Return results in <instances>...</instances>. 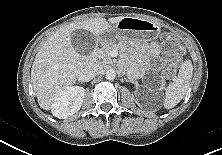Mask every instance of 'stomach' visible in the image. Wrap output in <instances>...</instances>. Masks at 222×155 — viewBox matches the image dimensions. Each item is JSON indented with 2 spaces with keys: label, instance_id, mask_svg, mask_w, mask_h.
Listing matches in <instances>:
<instances>
[{
  "label": "stomach",
  "instance_id": "obj_1",
  "mask_svg": "<svg viewBox=\"0 0 222 155\" xmlns=\"http://www.w3.org/2000/svg\"><path fill=\"white\" fill-rule=\"evenodd\" d=\"M160 27L145 19L124 17L119 23L102 32L97 40L102 46H112L117 41L141 44L159 37Z\"/></svg>",
  "mask_w": 222,
  "mask_h": 155
}]
</instances>
